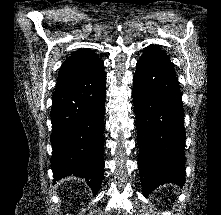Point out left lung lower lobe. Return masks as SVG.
Segmentation results:
<instances>
[{
  "label": "left lung lower lobe",
  "mask_w": 221,
  "mask_h": 215,
  "mask_svg": "<svg viewBox=\"0 0 221 215\" xmlns=\"http://www.w3.org/2000/svg\"><path fill=\"white\" fill-rule=\"evenodd\" d=\"M134 111L143 193L185 183L182 96L172 66L139 59L134 75Z\"/></svg>",
  "instance_id": "1"
}]
</instances>
